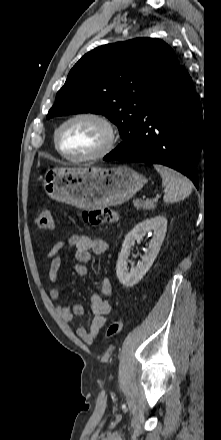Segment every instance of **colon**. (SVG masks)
<instances>
[{
  "mask_svg": "<svg viewBox=\"0 0 221 440\" xmlns=\"http://www.w3.org/2000/svg\"><path fill=\"white\" fill-rule=\"evenodd\" d=\"M82 218L86 224L97 226L115 223L118 221L119 216L117 212L113 209L100 208L83 211ZM35 224L40 230H53L54 224L50 210L47 208H41L35 216ZM122 326L123 322L121 318H115L108 326V329L106 331V338L112 339L116 337L121 332Z\"/></svg>",
  "mask_w": 221,
  "mask_h": 440,
  "instance_id": "5ec220e1",
  "label": "colon"
}]
</instances>
